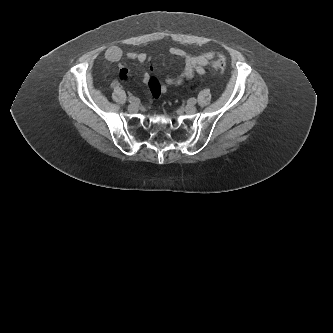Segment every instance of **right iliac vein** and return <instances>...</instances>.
<instances>
[{
  "mask_svg": "<svg viewBox=\"0 0 333 333\" xmlns=\"http://www.w3.org/2000/svg\"><path fill=\"white\" fill-rule=\"evenodd\" d=\"M138 110V105L136 103H132L128 106V111L134 113Z\"/></svg>",
  "mask_w": 333,
  "mask_h": 333,
  "instance_id": "obj_1",
  "label": "right iliac vein"
}]
</instances>
